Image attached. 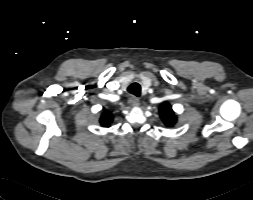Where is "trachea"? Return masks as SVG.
I'll return each mask as SVG.
<instances>
[{"label": "trachea", "instance_id": "3493384b", "mask_svg": "<svg viewBox=\"0 0 253 200\" xmlns=\"http://www.w3.org/2000/svg\"><path fill=\"white\" fill-rule=\"evenodd\" d=\"M127 90L129 93L138 97L141 93V86L138 83H132Z\"/></svg>", "mask_w": 253, "mask_h": 200}]
</instances>
